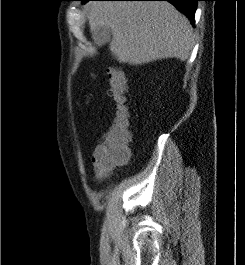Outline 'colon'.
I'll use <instances>...</instances> for the list:
<instances>
[{
  "label": "colon",
  "mask_w": 245,
  "mask_h": 265,
  "mask_svg": "<svg viewBox=\"0 0 245 265\" xmlns=\"http://www.w3.org/2000/svg\"><path fill=\"white\" fill-rule=\"evenodd\" d=\"M107 75L109 82L108 93L114 100L115 114L112 126L94 151V161L98 168L109 172L129 159L131 131L125 75L118 67H110Z\"/></svg>",
  "instance_id": "5ec220e1"
}]
</instances>
